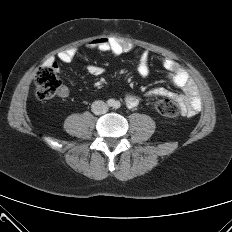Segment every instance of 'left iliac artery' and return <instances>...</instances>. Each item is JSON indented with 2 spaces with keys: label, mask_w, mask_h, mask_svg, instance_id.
Listing matches in <instances>:
<instances>
[{
  "label": "left iliac artery",
  "mask_w": 232,
  "mask_h": 232,
  "mask_svg": "<svg viewBox=\"0 0 232 232\" xmlns=\"http://www.w3.org/2000/svg\"><path fill=\"white\" fill-rule=\"evenodd\" d=\"M114 107L117 109V108H119L120 107V102H115V104H114Z\"/></svg>",
  "instance_id": "44dca946"
}]
</instances>
